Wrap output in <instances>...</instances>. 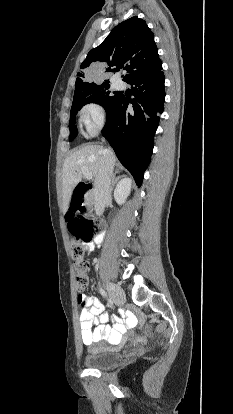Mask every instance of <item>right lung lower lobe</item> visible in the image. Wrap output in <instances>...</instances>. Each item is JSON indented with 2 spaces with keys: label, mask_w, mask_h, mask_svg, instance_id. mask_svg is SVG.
<instances>
[{
  "label": "right lung lower lobe",
  "mask_w": 233,
  "mask_h": 414,
  "mask_svg": "<svg viewBox=\"0 0 233 414\" xmlns=\"http://www.w3.org/2000/svg\"><path fill=\"white\" fill-rule=\"evenodd\" d=\"M134 99L123 95L106 111L107 120L102 130L119 161L127 168L138 186L147 169L153 150V139L163 112L165 99L162 67L157 71L137 76L129 81ZM131 103L133 110L128 111Z\"/></svg>",
  "instance_id": "obj_1"
}]
</instances>
